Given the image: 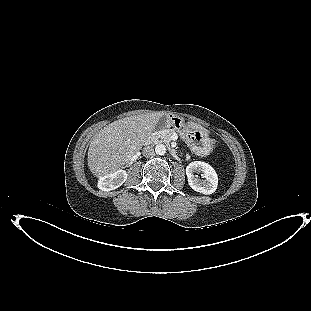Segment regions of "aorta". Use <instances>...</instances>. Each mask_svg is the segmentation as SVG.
<instances>
[{
	"instance_id": "1",
	"label": "aorta",
	"mask_w": 311,
	"mask_h": 311,
	"mask_svg": "<svg viewBox=\"0 0 311 311\" xmlns=\"http://www.w3.org/2000/svg\"><path fill=\"white\" fill-rule=\"evenodd\" d=\"M155 153L157 155H164L166 153V146L164 144H158L155 147Z\"/></svg>"
}]
</instances>
